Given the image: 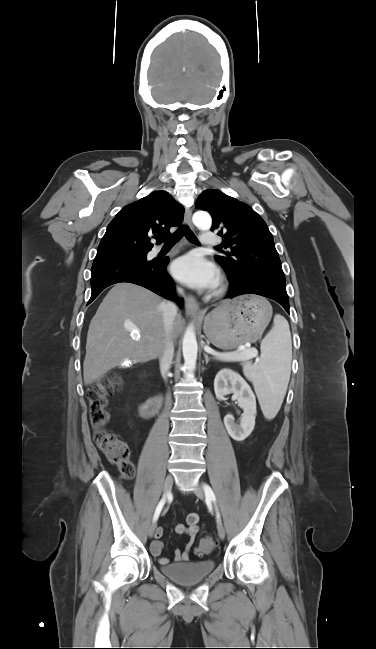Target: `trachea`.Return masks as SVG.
Returning a JSON list of instances; mask_svg holds the SVG:
<instances>
[{"label":"trachea","mask_w":376,"mask_h":649,"mask_svg":"<svg viewBox=\"0 0 376 649\" xmlns=\"http://www.w3.org/2000/svg\"><path fill=\"white\" fill-rule=\"evenodd\" d=\"M185 235L187 240L193 244H199V241L195 234L187 226L180 227L175 233L169 236L162 237L161 240L165 245H175L182 236Z\"/></svg>","instance_id":"3493384b"}]
</instances>
